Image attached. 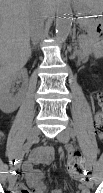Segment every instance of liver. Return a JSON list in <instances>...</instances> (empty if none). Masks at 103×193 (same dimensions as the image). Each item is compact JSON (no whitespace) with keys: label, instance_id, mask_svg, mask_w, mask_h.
<instances>
[{"label":"liver","instance_id":"liver-1","mask_svg":"<svg viewBox=\"0 0 103 193\" xmlns=\"http://www.w3.org/2000/svg\"><path fill=\"white\" fill-rule=\"evenodd\" d=\"M55 0H1V75L16 74L31 56L30 21L33 13L55 8Z\"/></svg>","mask_w":103,"mask_h":193}]
</instances>
